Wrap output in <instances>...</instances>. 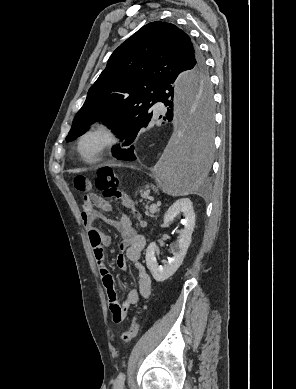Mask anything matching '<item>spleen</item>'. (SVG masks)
I'll use <instances>...</instances> for the list:
<instances>
[{"label":"spleen","mask_w":296,"mask_h":389,"mask_svg":"<svg viewBox=\"0 0 296 389\" xmlns=\"http://www.w3.org/2000/svg\"><path fill=\"white\" fill-rule=\"evenodd\" d=\"M195 180H196V179L193 178V186L195 185ZM151 187H152V189H153L155 192H158V189H157L154 185H152Z\"/></svg>","instance_id":"3e777b00"}]
</instances>
